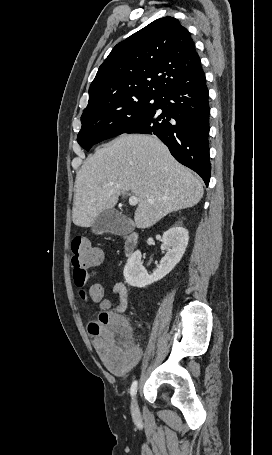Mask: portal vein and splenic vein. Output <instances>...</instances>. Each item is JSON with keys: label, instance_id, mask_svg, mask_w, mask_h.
<instances>
[{"label": "portal vein and splenic vein", "instance_id": "18ae733b", "mask_svg": "<svg viewBox=\"0 0 272 455\" xmlns=\"http://www.w3.org/2000/svg\"><path fill=\"white\" fill-rule=\"evenodd\" d=\"M129 204L135 206L138 204V198L134 195L129 197Z\"/></svg>", "mask_w": 272, "mask_h": 455}]
</instances>
